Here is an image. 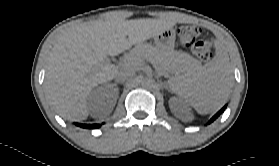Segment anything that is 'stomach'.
Wrapping results in <instances>:
<instances>
[{"label": "stomach", "instance_id": "stomach-1", "mask_svg": "<svg viewBox=\"0 0 279 166\" xmlns=\"http://www.w3.org/2000/svg\"><path fill=\"white\" fill-rule=\"evenodd\" d=\"M175 36L174 29L170 28L154 36V41L159 49L172 50L174 47Z\"/></svg>", "mask_w": 279, "mask_h": 166}]
</instances>
